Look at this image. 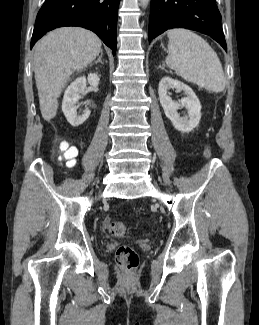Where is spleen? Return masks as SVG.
I'll return each mask as SVG.
<instances>
[{
    "label": "spleen",
    "instance_id": "spleen-1",
    "mask_svg": "<svg viewBox=\"0 0 259 325\" xmlns=\"http://www.w3.org/2000/svg\"><path fill=\"white\" fill-rule=\"evenodd\" d=\"M167 66L186 81L215 93L225 89L221 62L212 47L199 35L187 29H171Z\"/></svg>",
    "mask_w": 259,
    "mask_h": 325
}]
</instances>
